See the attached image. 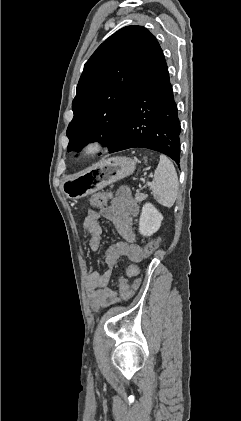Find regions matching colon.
<instances>
[{
    "mask_svg": "<svg viewBox=\"0 0 241 421\" xmlns=\"http://www.w3.org/2000/svg\"><path fill=\"white\" fill-rule=\"evenodd\" d=\"M111 193L109 192H101L96 193L91 196L90 198V205L92 207H101L104 206L111 198ZM160 246V238H154L148 242L144 251L143 257L148 258L150 257ZM126 273L129 276H138L139 275V266L137 261H130V263L126 267ZM140 284V278H137L132 286L129 285L128 281L124 277H120L118 280V291L119 295L122 299L130 298L134 291Z\"/></svg>",
    "mask_w": 241,
    "mask_h": 421,
    "instance_id": "obj_1",
    "label": "colon"
}]
</instances>
